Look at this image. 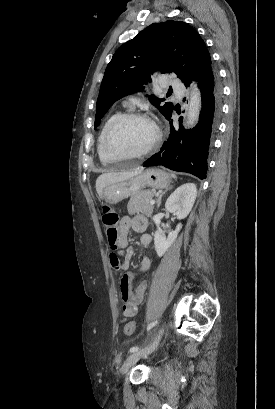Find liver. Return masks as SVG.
I'll list each match as a JSON object with an SVG mask.
<instances>
[{
	"instance_id": "obj_1",
	"label": "liver",
	"mask_w": 275,
	"mask_h": 409,
	"mask_svg": "<svg viewBox=\"0 0 275 409\" xmlns=\"http://www.w3.org/2000/svg\"><path fill=\"white\" fill-rule=\"evenodd\" d=\"M142 170L143 168L140 166V168H134V170H129V172H103L96 180V190L100 198H103V188L105 186L114 184V182H120V180H126V178H131V176H136Z\"/></svg>"
}]
</instances>
